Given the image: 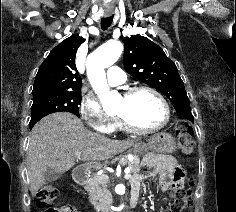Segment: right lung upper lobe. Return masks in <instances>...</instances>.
I'll return each mask as SVG.
<instances>
[{
    "label": "right lung upper lobe",
    "mask_w": 236,
    "mask_h": 212,
    "mask_svg": "<svg viewBox=\"0 0 236 212\" xmlns=\"http://www.w3.org/2000/svg\"><path fill=\"white\" fill-rule=\"evenodd\" d=\"M85 41L72 35L54 47L41 64L33 85V95L44 92L81 91V78L75 65L79 46Z\"/></svg>",
    "instance_id": "obj_1"
}]
</instances>
